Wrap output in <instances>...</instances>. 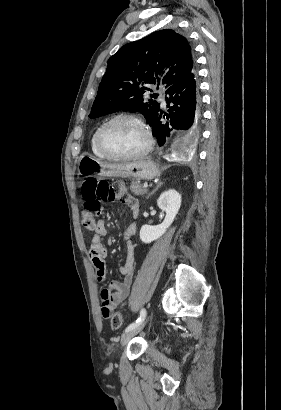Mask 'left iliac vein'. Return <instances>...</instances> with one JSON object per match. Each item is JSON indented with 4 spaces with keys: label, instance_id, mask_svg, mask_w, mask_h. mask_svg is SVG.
Segmentation results:
<instances>
[{
    "label": "left iliac vein",
    "instance_id": "1",
    "mask_svg": "<svg viewBox=\"0 0 281 410\" xmlns=\"http://www.w3.org/2000/svg\"><path fill=\"white\" fill-rule=\"evenodd\" d=\"M149 318L150 317L147 316L136 327H134L133 329H131V330H129V331H127L123 334V336L121 337V341H120L122 347L125 346L135 335H137L144 328V326L148 322Z\"/></svg>",
    "mask_w": 281,
    "mask_h": 410
}]
</instances>
